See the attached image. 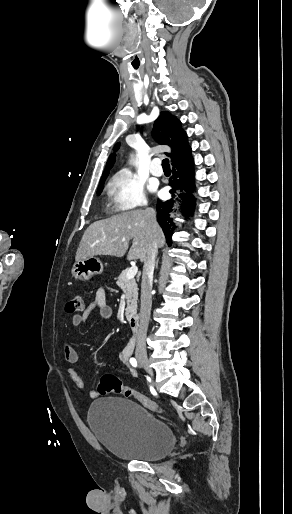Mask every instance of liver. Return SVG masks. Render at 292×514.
Segmentation results:
<instances>
[{
	"mask_svg": "<svg viewBox=\"0 0 292 514\" xmlns=\"http://www.w3.org/2000/svg\"><path fill=\"white\" fill-rule=\"evenodd\" d=\"M148 212L149 210H132L91 224L79 244L76 262L89 256L121 258L126 254L129 240L132 238L133 244L127 260L145 262L153 242H156L158 248L165 244V236L160 226L157 222L151 224Z\"/></svg>",
	"mask_w": 292,
	"mask_h": 514,
	"instance_id": "1",
	"label": "liver"
}]
</instances>
